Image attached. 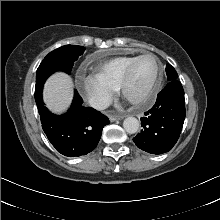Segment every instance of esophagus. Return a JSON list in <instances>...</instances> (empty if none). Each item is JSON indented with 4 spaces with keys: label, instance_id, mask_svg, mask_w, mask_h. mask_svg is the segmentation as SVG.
I'll list each match as a JSON object with an SVG mask.
<instances>
[{
    "label": "esophagus",
    "instance_id": "34e87169",
    "mask_svg": "<svg viewBox=\"0 0 220 220\" xmlns=\"http://www.w3.org/2000/svg\"><path fill=\"white\" fill-rule=\"evenodd\" d=\"M124 116H117V115H110L109 119L110 121H116L122 119Z\"/></svg>",
    "mask_w": 220,
    "mask_h": 220
}]
</instances>
